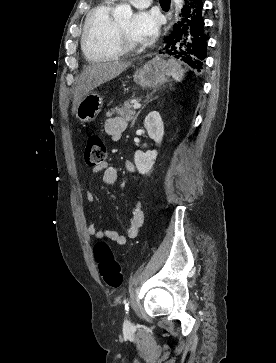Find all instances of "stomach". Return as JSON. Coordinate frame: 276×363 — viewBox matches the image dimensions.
<instances>
[{
	"mask_svg": "<svg viewBox=\"0 0 276 363\" xmlns=\"http://www.w3.org/2000/svg\"><path fill=\"white\" fill-rule=\"evenodd\" d=\"M171 75L168 61L156 56L134 74V81L143 88L155 89L167 82ZM103 105L102 97L96 92H90L79 102L75 114L82 122L95 120L101 112Z\"/></svg>",
	"mask_w": 276,
	"mask_h": 363,
	"instance_id": "obj_1",
	"label": "stomach"
}]
</instances>
